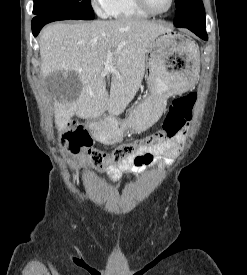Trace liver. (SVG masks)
Listing matches in <instances>:
<instances>
[{"instance_id":"obj_1","label":"liver","mask_w":247,"mask_h":275,"mask_svg":"<svg viewBox=\"0 0 247 275\" xmlns=\"http://www.w3.org/2000/svg\"><path fill=\"white\" fill-rule=\"evenodd\" d=\"M167 31L160 23L133 18L47 26L39 38L42 76L71 72L80 81L77 94L54 101L58 131L66 129L73 115L92 119L106 110L120 115L143 80L148 45ZM107 53L113 54L110 72L106 70ZM109 74L110 94L106 90Z\"/></svg>"}]
</instances>
